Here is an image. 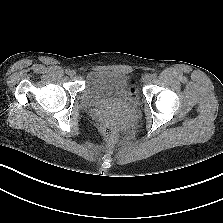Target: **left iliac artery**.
I'll return each mask as SVG.
<instances>
[{
  "instance_id": "obj_1",
  "label": "left iliac artery",
  "mask_w": 223,
  "mask_h": 223,
  "mask_svg": "<svg viewBox=\"0 0 223 223\" xmlns=\"http://www.w3.org/2000/svg\"><path fill=\"white\" fill-rule=\"evenodd\" d=\"M151 76H152V78H156L157 77V74L156 73H153Z\"/></svg>"
}]
</instances>
